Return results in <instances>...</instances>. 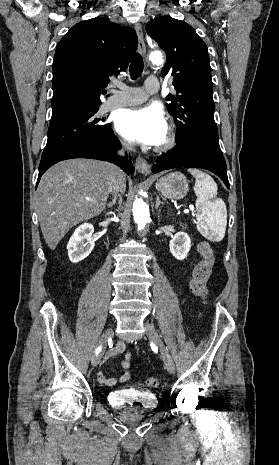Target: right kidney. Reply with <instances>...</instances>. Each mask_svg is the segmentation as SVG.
Segmentation results:
<instances>
[{"instance_id": "ca27d5eb", "label": "right kidney", "mask_w": 279, "mask_h": 465, "mask_svg": "<svg viewBox=\"0 0 279 465\" xmlns=\"http://www.w3.org/2000/svg\"><path fill=\"white\" fill-rule=\"evenodd\" d=\"M94 227L91 223L81 224L75 229L68 244V256L72 263H78L84 260L95 246L92 234Z\"/></svg>"}]
</instances>
